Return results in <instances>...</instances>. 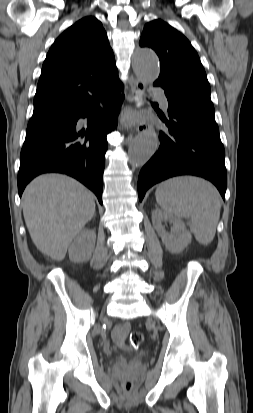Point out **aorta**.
Here are the masks:
<instances>
[{"label": "aorta", "mask_w": 253, "mask_h": 413, "mask_svg": "<svg viewBox=\"0 0 253 413\" xmlns=\"http://www.w3.org/2000/svg\"><path fill=\"white\" fill-rule=\"evenodd\" d=\"M135 74L142 80L154 81L160 73L157 55L148 48L137 49L133 56ZM159 145L158 135L153 129L139 134L129 148V161L132 166L144 165L156 152Z\"/></svg>", "instance_id": "aorta-1"}]
</instances>
